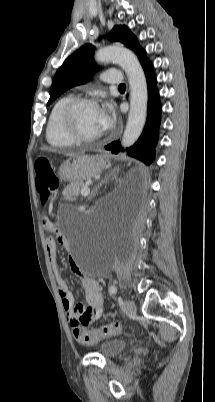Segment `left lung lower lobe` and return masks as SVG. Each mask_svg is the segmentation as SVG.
Here are the masks:
<instances>
[{
	"label": "left lung lower lobe",
	"mask_w": 215,
	"mask_h": 402,
	"mask_svg": "<svg viewBox=\"0 0 215 402\" xmlns=\"http://www.w3.org/2000/svg\"><path fill=\"white\" fill-rule=\"evenodd\" d=\"M148 87V114L144 130L138 141L130 148H126L129 156L135 157L147 165L151 164L155 158V147L158 142L159 126L161 120V104L159 92L156 86V76L153 72V64L146 60L142 64ZM113 153L123 151L120 140L114 141L105 146Z\"/></svg>",
	"instance_id": "left-lung-lower-lobe-1"
}]
</instances>
